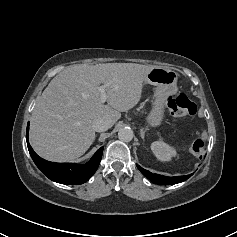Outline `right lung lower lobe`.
Here are the masks:
<instances>
[{
	"instance_id": "obj_1",
	"label": "right lung lower lobe",
	"mask_w": 237,
	"mask_h": 237,
	"mask_svg": "<svg viewBox=\"0 0 237 237\" xmlns=\"http://www.w3.org/2000/svg\"><path fill=\"white\" fill-rule=\"evenodd\" d=\"M29 122L27 125V146L29 153L40 171L46 175L50 180L69 185H78L86 182L97 170L103 147L97 150L94 156L86 164L75 163H54L49 162L39 157L32 149L28 142Z\"/></svg>"
}]
</instances>
